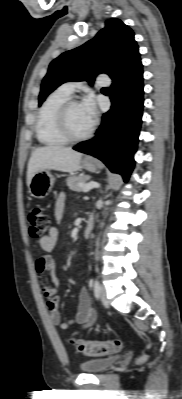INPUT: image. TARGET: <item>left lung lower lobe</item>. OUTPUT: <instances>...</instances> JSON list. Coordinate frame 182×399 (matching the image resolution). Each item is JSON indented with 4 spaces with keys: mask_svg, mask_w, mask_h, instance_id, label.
I'll use <instances>...</instances> for the list:
<instances>
[{
    "mask_svg": "<svg viewBox=\"0 0 182 399\" xmlns=\"http://www.w3.org/2000/svg\"><path fill=\"white\" fill-rule=\"evenodd\" d=\"M143 71L138 64L111 85V109L102 116L96 136L73 147L105 163L128 181L134 167L143 110Z\"/></svg>",
    "mask_w": 182,
    "mask_h": 399,
    "instance_id": "left-lung-lower-lobe-1",
    "label": "left lung lower lobe"
}]
</instances>
